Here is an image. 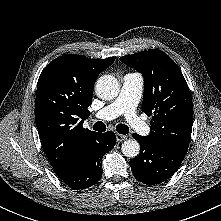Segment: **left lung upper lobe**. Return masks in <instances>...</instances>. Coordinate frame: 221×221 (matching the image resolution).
Returning <instances> with one entry per match:
<instances>
[{
    "instance_id": "1",
    "label": "left lung upper lobe",
    "mask_w": 221,
    "mask_h": 221,
    "mask_svg": "<svg viewBox=\"0 0 221 221\" xmlns=\"http://www.w3.org/2000/svg\"><path fill=\"white\" fill-rule=\"evenodd\" d=\"M120 60L144 78L142 111L152 116L150 135L143 137L156 147L186 154L193 124L188 85L178 65L164 52L150 49Z\"/></svg>"
}]
</instances>
